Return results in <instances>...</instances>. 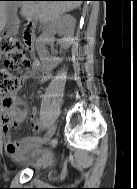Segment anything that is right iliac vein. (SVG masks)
I'll return each mask as SVG.
<instances>
[{"label": "right iliac vein", "mask_w": 137, "mask_h": 189, "mask_svg": "<svg viewBox=\"0 0 137 189\" xmlns=\"http://www.w3.org/2000/svg\"><path fill=\"white\" fill-rule=\"evenodd\" d=\"M56 130V125L53 124L50 129L48 130V132L46 133L45 137H43V139H41L40 141H38L36 143V145L34 146V148H38L41 145H45L49 142V140L51 139V137L53 136V134L55 133Z\"/></svg>", "instance_id": "right-iliac-vein-1"}]
</instances>
